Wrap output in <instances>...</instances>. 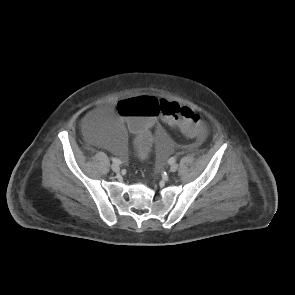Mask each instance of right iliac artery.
I'll use <instances>...</instances> for the list:
<instances>
[{
  "label": "right iliac artery",
  "instance_id": "obj_1",
  "mask_svg": "<svg viewBox=\"0 0 295 295\" xmlns=\"http://www.w3.org/2000/svg\"><path fill=\"white\" fill-rule=\"evenodd\" d=\"M112 161H113V163H116L118 165L122 163L121 160L118 158H112Z\"/></svg>",
  "mask_w": 295,
  "mask_h": 295
}]
</instances>
